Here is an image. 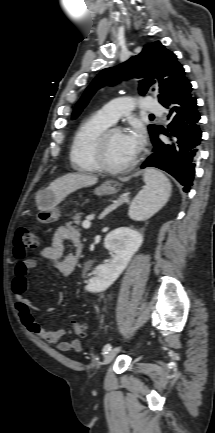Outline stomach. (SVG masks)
<instances>
[{"label": "stomach", "instance_id": "0dacf381", "mask_svg": "<svg viewBox=\"0 0 215 433\" xmlns=\"http://www.w3.org/2000/svg\"><path fill=\"white\" fill-rule=\"evenodd\" d=\"M120 190V184L114 181H107L94 190L97 196L116 194ZM36 202L40 210L37 219L42 224L55 222L60 217V210L57 207L58 200L53 192L47 188L40 190L36 195Z\"/></svg>", "mask_w": 215, "mask_h": 433}]
</instances>
